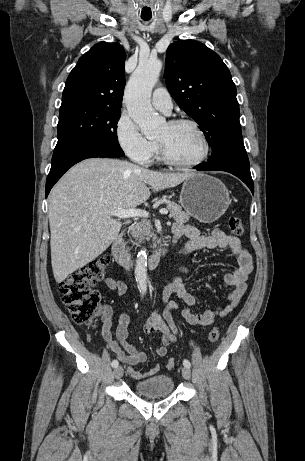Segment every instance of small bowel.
<instances>
[{
    "label": "small bowel",
    "mask_w": 305,
    "mask_h": 461,
    "mask_svg": "<svg viewBox=\"0 0 305 461\" xmlns=\"http://www.w3.org/2000/svg\"><path fill=\"white\" fill-rule=\"evenodd\" d=\"M172 232L175 239L182 236H186L188 239L176 251L177 256H185L201 249H229L236 258L237 268L224 278V285L233 288L229 295V303L226 306L207 309L202 313H194L190 310L189 307L196 304L197 298L188 291L180 276L175 277L165 287L161 297L162 303L165 304L162 314L158 310L154 311L144 326L145 333L157 334L159 337V344L155 349L159 357H164L167 354L168 345L177 339L179 328L173 316L175 310L181 309L182 316L190 325L204 327L212 325L216 318L228 315L238 306L247 291L246 280L253 269L252 257L242 247L239 238L229 235L219 228L214 229L210 234H204L193 225L175 222ZM179 270L181 273L187 272V269L182 266L179 267ZM104 282L109 289L116 291L118 295L125 294L126 286L121 280L108 277ZM172 296H175L178 301H171ZM180 302L184 304V307H181ZM100 312L103 322L102 337L116 358L127 366V373L138 380L155 375L160 370L159 364H155L145 371H138L134 368L136 365L146 362L148 355L127 341L130 315L127 312H122L114 321L112 309L107 305L102 306Z\"/></svg>",
    "instance_id": "1"
}]
</instances>
